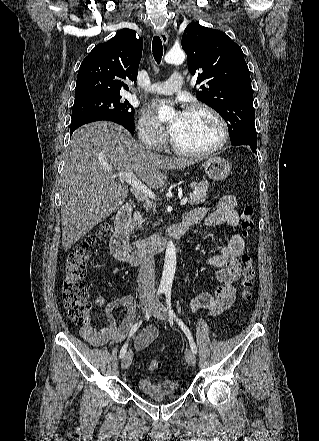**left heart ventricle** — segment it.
<instances>
[{
	"label": "left heart ventricle",
	"mask_w": 319,
	"mask_h": 441,
	"mask_svg": "<svg viewBox=\"0 0 319 441\" xmlns=\"http://www.w3.org/2000/svg\"><path fill=\"white\" fill-rule=\"evenodd\" d=\"M172 135L181 147L201 151L219 142L221 130L218 122L209 113L205 111L185 112L172 131Z\"/></svg>",
	"instance_id": "b2bd125f"
}]
</instances>
